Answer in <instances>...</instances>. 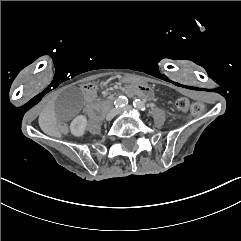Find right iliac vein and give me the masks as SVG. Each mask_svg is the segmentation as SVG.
Wrapping results in <instances>:
<instances>
[{
  "label": "right iliac vein",
  "instance_id": "1",
  "mask_svg": "<svg viewBox=\"0 0 241 241\" xmlns=\"http://www.w3.org/2000/svg\"><path fill=\"white\" fill-rule=\"evenodd\" d=\"M116 114H117V110L113 109L106 115L105 118L107 121H111L115 117Z\"/></svg>",
  "mask_w": 241,
  "mask_h": 241
}]
</instances>
